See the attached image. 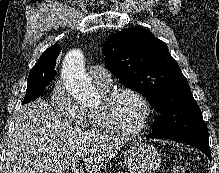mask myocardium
<instances>
[{"label":"myocardium","mask_w":219,"mask_h":173,"mask_svg":"<svg viewBox=\"0 0 219 173\" xmlns=\"http://www.w3.org/2000/svg\"><path fill=\"white\" fill-rule=\"evenodd\" d=\"M123 93H128L138 98L144 109V115L140 126L130 131L118 127L114 123L109 111L111 103ZM97 110L103 124L110 132L118 136L127 138H133L142 134L147 129L153 112L152 106L147 97L142 92L129 86L114 87L107 90L105 93L102 94L100 103L97 106Z\"/></svg>","instance_id":"f54148a6"}]
</instances>
